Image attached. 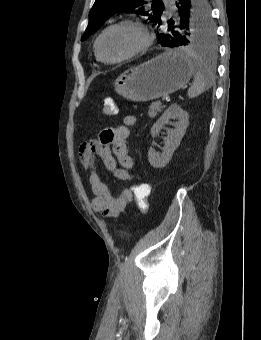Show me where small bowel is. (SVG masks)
<instances>
[{
    "label": "small bowel",
    "instance_id": "1",
    "mask_svg": "<svg viewBox=\"0 0 261 340\" xmlns=\"http://www.w3.org/2000/svg\"><path fill=\"white\" fill-rule=\"evenodd\" d=\"M135 123V116L126 115L122 125L101 130L98 138L85 141L78 148L80 164L89 172V183L94 195L92 207L108 218L119 217L125 211L133 200L132 188H124L117 195L111 193L108 184L97 172L96 161L100 159L116 178L132 181L134 176L131 170L134 163L128 154L126 139L129 128Z\"/></svg>",
    "mask_w": 261,
    "mask_h": 340
}]
</instances>
